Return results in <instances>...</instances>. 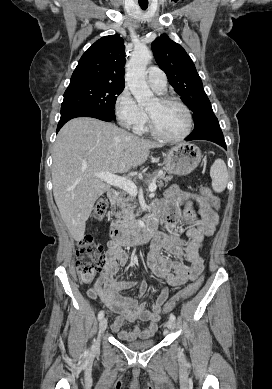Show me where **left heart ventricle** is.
Masks as SVG:
<instances>
[{
  "instance_id": "obj_1",
  "label": "left heart ventricle",
  "mask_w": 272,
  "mask_h": 389,
  "mask_svg": "<svg viewBox=\"0 0 272 389\" xmlns=\"http://www.w3.org/2000/svg\"><path fill=\"white\" fill-rule=\"evenodd\" d=\"M147 111L153 116L158 129L168 136H178L187 128L186 114L175 104H160L156 100Z\"/></svg>"
}]
</instances>
